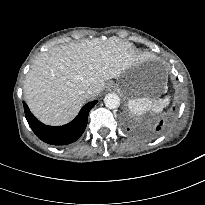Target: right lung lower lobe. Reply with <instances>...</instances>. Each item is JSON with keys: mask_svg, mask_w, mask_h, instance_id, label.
Listing matches in <instances>:
<instances>
[{"mask_svg": "<svg viewBox=\"0 0 205 205\" xmlns=\"http://www.w3.org/2000/svg\"><path fill=\"white\" fill-rule=\"evenodd\" d=\"M96 103L97 101L87 103L72 122L59 127L42 124L32 115L24 102L23 105L28 124L39 139L52 145H66L82 135L87 126L89 111Z\"/></svg>", "mask_w": 205, "mask_h": 205, "instance_id": "1", "label": "right lung lower lobe"}]
</instances>
